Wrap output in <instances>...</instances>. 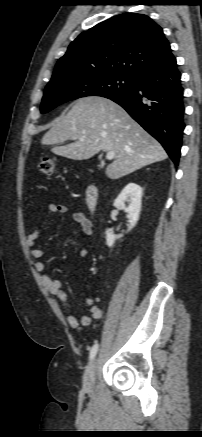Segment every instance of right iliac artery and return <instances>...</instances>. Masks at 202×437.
Listing matches in <instances>:
<instances>
[{
	"label": "right iliac artery",
	"instance_id": "right-iliac-artery-1",
	"mask_svg": "<svg viewBox=\"0 0 202 437\" xmlns=\"http://www.w3.org/2000/svg\"><path fill=\"white\" fill-rule=\"evenodd\" d=\"M97 351H98V344H95V345L91 348V350H90V355H89V359H90V360H93V359H94V357H95Z\"/></svg>",
	"mask_w": 202,
	"mask_h": 437
}]
</instances>
